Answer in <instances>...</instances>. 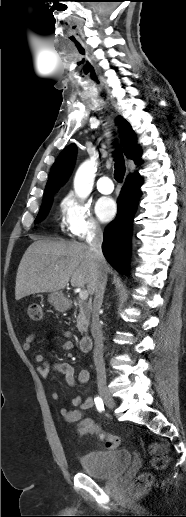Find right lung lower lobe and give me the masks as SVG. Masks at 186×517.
<instances>
[{
	"label": "right lung lower lobe",
	"mask_w": 186,
	"mask_h": 517,
	"mask_svg": "<svg viewBox=\"0 0 186 517\" xmlns=\"http://www.w3.org/2000/svg\"><path fill=\"white\" fill-rule=\"evenodd\" d=\"M140 186L141 176L138 174L126 179L117 200V216L104 232L103 254L111 266L123 274L128 270L132 221L141 195Z\"/></svg>",
	"instance_id": "right-lung-lower-lobe-1"
}]
</instances>
